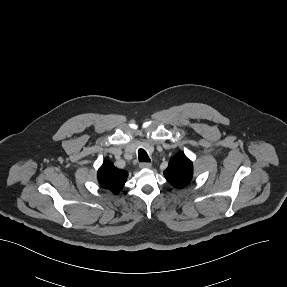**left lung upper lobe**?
I'll list each match as a JSON object with an SVG mask.
<instances>
[{
  "label": "left lung upper lobe",
  "instance_id": "1",
  "mask_svg": "<svg viewBox=\"0 0 287 287\" xmlns=\"http://www.w3.org/2000/svg\"><path fill=\"white\" fill-rule=\"evenodd\" d=\"M164 176L174 187L183 188L192 179V162L183 153H177L170 159L169 165L164 171Z\"/></svg>",
  "mask_w": 287,
  "mask_h": 287
}]
</instances>
